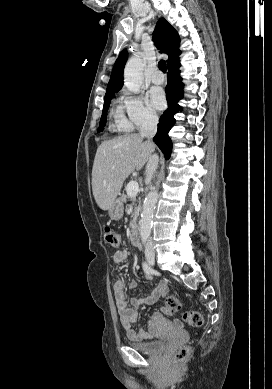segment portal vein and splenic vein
I'll return each instance as SVG.
<instances>
[{
    "label": "portal vein and splenic vein",
    "mask_w": 272,
    "mask_h": 389,
    "mask_svg": "<svg viewBox=\"0 0 272 389\" xmlns=\"http://www.w3.org/2000/svg\"><path fill=\"white\" fill-rule=\"evenodd\" d=\"M139 191V185L136 181H130L126 187L127 195L135 197Z\"/></svg>",
    "instance_id": "portal-vein-and-splenic-vein-1"
}]
</instances>
